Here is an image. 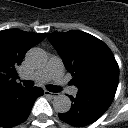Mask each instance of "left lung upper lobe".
<instances>
[{
    "label": "left lung upper lobe",
    "instance_id": "1",
    "mask_svg": "<svg viewBox=\"0 0 128 128\" xmlns=\"http://www.w3.org/2000/svg\"><path fill=\"white\" fill-rule=\"evenodd\" d=\"M47 38L72 74L78 92L98 91L115 95L119 67L109 47L98 38L82 32L47 33Z\"/></svg>",
    "mask_w": 128,
    "mask_h": 128
}]
</instances>
